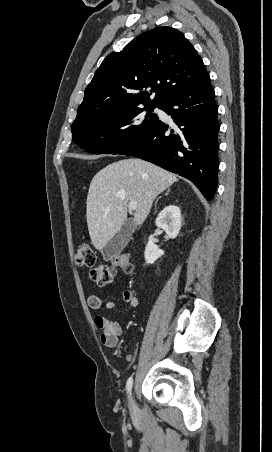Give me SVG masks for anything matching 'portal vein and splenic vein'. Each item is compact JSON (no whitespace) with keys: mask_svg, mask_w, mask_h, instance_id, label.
<instances>
[{"mask_svg":"<svg viewBox=\"0 0 272 452\" xmlns=\"http://www.w3.org/2000/svg\"><path fill=\"white\" fill-rule=\"evenodd\" d=\"M129 209L130 210H136L137 203L136 202H129Z\"/></svg>","mask_w":272,"mask_h":452,"instance_id":"obj_1","label":"portal vein and splenic vein"}]
</instances>
